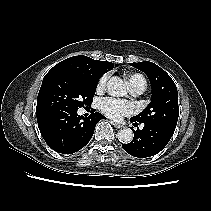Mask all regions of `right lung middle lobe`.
Segmentation results:
<instances>
[{
	"label": "right lung middle lobe",
	"mask_w": 211,
	"mask_h": 211,
	"mask_svg": "<svg viewBox=\"0 0 211 211\" xmlns=\"http://www.w3.org/2000/svg\"><path fill=\"white\" fill-rule=\"evenodd\" d=\"M98 80L76 70L53 67L42 81L36 111L78 110L84 105H90Z\"/></svg>",
	"instance_id": "obj_1"
}]
</instances>
